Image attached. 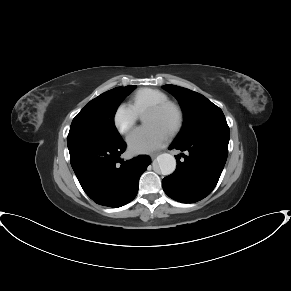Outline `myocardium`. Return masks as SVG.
Returning a JSON list of instances; mask_svg holds the SVG:
<instances>
[{"mask_svg": "<svg viewBox=\"0 0 291 291\" xmlns=\"http://www.w3.org/2000/svg\"><path fill=\"white\" fill-rule=\"evenodd\" d=\"M147 111L158 112V113L170 111L172 113L173 119L168 131L171 134L177 132L182 126L183 112L180 106L176 104L175 102L166 100L160 103H156V104L148 106L145 109L144 113Z\"/></svg>", "mask_w": 291, "mask_h": 291, "instance_id": "myocardium-1", "label": "myocardium"}]
</instances>
